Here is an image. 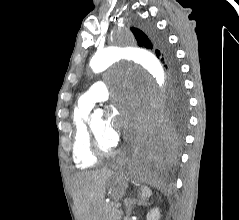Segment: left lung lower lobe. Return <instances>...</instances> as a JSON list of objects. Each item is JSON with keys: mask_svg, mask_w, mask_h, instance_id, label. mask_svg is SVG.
<instances>
[{"mask_svg": "<svg viewBox=\"0 0 239 220\" xmlns=\"http://www.w3.org/2000/svg\"><path fill=\"white\" fill-rule=\"evenodd\" d=\"M178 147L179 130L170 123L158 142L140 155L137 169L144 174L161 172L167 164L177 158Z\"/></svg>", "mask_w": 239, "mask_h": 220, "instance_id": "0a47b994", "label": "left lung lower lobe"}]
</instances>
